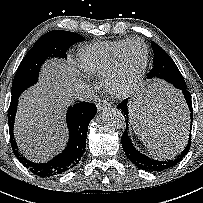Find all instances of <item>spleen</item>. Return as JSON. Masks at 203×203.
<instances>
[{
	"label": "spleen",
	"instance_id": "obj_1",
	"mask_svg": "<svg viewBox=\"0 0 203 203\" xmlns=\"http://www.w3.org/2000/svg\"><path fill=\"white\" fill-rule=\"evenodd\" d=\"M148 102L152 106V109L167 111L170 109V106L174 107L175 111H178L179 115H182L181 108L186 113V109L183 106V101L181 95L176 92L175 90L169 88L165 84L155 85L147 92ZM187 134L188 131L186 130L184 134H182L177 140L173 143L169 144L167 147H163L161 149V153H157L151 148H149L141 137V140L147 146L155 157H163V158H172L176 156L186 145L187 142Z\"/></svg>",
	"mask_w": 203,
	"mask_h": 203
}]
</instances>
